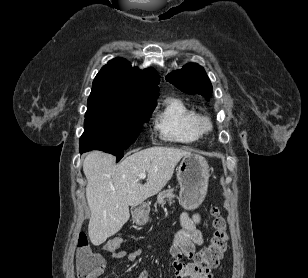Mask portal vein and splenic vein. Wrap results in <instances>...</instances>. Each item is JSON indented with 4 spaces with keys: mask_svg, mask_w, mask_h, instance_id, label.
Listing matches in <instances>:
<instances>
[{
    "mask_svg": "<svg viewBox=\"0 0 308 278\" xmlns=\"http://www.w3.org/2000/svg\"><path fill=\"white\" fill-rule=\"evenodd\" d=\"M138 177L140 178V179H145L146 178V173H140L139 175H138Z\"/></svg>",
    "mask_w": 308,
    "mask_h": 278,
    "instance_id": "1",
    "label": "portal vein and splenic vein"
}]
</instances>
